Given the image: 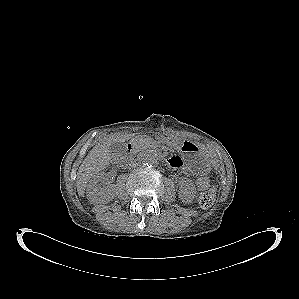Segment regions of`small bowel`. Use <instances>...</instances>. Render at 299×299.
Masks as SVG:
<instances>
[{
  "mask_svg": "<svg viewBox=\"0 0 299 299\" xmlns=\"http://www.w3.org/2000/svg\"><path fill=\"white\" fill-rule=\"evenodd\" d=\"M169 164H170V166H172L174 168H179L182 166V161L179 157H172L169 160Z\"/></svg>",
  "mask_w": 299,
  "mask_h": 299,
  "instance_id": "1",
  "label": "small bowel"
}]
</instances>
